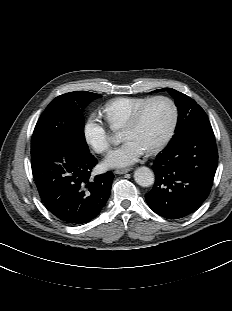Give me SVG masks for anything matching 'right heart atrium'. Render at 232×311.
<instances>
[{
	"mask_svg": "<svg viewBox=\"0 0 232 311\" xmlns=\"http://www.w3.org/2000/svg\"><path fill=\"white\" fill-rule=\"evenodd\" d=\"M83 136L88 145L97 153H106L111 147V138L105 124L91 114L83 126Z\"/></svg>",
	"mask_w": 232,
	"mask_h": 311,
	"instance_id": "right-heart-atrium-1",
	"label": "right heart atrium"
}]
</instances>
